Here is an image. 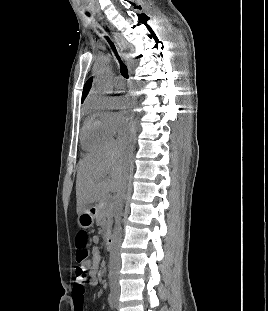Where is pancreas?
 Masks as SVG:
<instances>
[{"label":"pancreas","instance_id":"pancreas-1","mask_svg":"<svg viewBox=\"0 0 268 311\" xmlns=\"http://www.w3.org/2000/svg\"><path fill=\"white\" fill-rule=\"evenodd\" d=\"M114 206V201L110 199H104L100 201L98 205L96 224L101 226L104 232V236L111 229Z\"/></svg>","mask_w":268,"mask_h":311}]
</instances>
